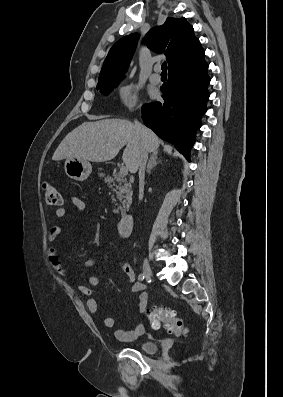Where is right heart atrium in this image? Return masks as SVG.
I'll use <instances>...</instances> for the list:
<instances>
[{"instance_id":"obj_1","label":"right heart atrium","mask_w":283,"mask_h":397,"mask_svg":"<svg viewBox=\"0 0 283 397\" xmlns=\"http://www.w3.org/2000/svg\"><path fill=\"white\" fill-rule=\"evenodd\" d=\"M116 100L121 110H136L140 103V91L138 86L133 82L122 83L117 89Z\"/></svg>"}]
</instances>
